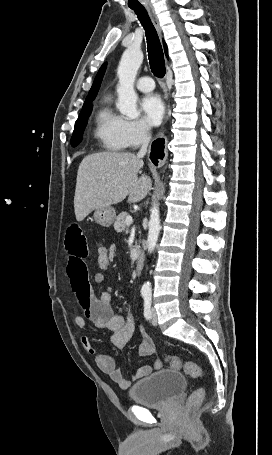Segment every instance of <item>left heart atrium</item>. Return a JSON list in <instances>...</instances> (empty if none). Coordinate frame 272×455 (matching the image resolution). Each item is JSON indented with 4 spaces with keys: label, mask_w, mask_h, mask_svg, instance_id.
<instances>
[{
    "label": "left heart atrium",
    "mask_w": 272,
    "mask_h": 455,
    "mask_svg": "<svg viewBox=\"0 0 272 455\" xmlns=\"http://www.w3.org/2000/svg\"><path fill=\"white\" fill-rule=\"evenodd\" d=\"M140 106L149 125L157 126L161 123L164 115V105L158 95L149 94L145 96L141 100Z\"/></svg>",
    "instance_id": "1"
}]
</instances>
